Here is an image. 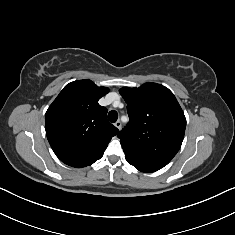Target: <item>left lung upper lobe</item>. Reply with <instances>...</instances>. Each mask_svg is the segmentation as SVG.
Listing matches in <instances>:
<instances>
[{
  "label": "left lung upper lobe",
  "instance_id": "5c2ea615",
  "mask_svg": "<svg viewBox=\"0 0 235 235\" xmlns=\"http://www.w3.org/2000/svg\"><path fill=\"white\" fill-rule=\"evenodd\" d=\"M119 92L128 104L129 123L118 134L125 157L164 167L180 149L186 128L177 99L165 86L151 82Z\"/></svg>",
  "mask_w": 235,
  "mask_h": 235
}]
</instances>
